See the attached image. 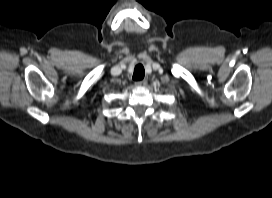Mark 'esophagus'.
I'll list each match as a JSON object with an SVG mask.
<instances>
[{"mask_svg": "<svg viewBox=\"0 0 272 198\" xmlns=\"http://www.w3.org/2000/svg\"><path fill=\"white\" fill-rule=\"evenodd\" d=\"M146 85V81H140V82H137L136 83V86L137 87H143V86H145Z\"/></svg>", "mask_w": 272, "mask_h": 198, "instance_id": "esophagus-1", "label": "esophagus"}]
</instances>
